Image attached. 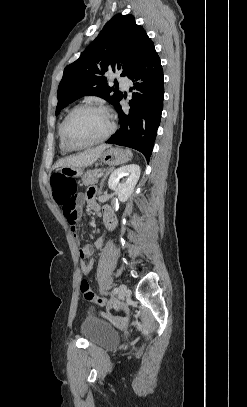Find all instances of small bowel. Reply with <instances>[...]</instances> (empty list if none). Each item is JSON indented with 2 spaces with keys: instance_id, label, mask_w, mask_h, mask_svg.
<instances>
[{
  "instance_id": "obj_1",
  "label": "small bowel",
  "mask_w": 247,
  "mask_h": 407,
  "mask_svg": "<svg viewBox=\"0 0 247 407\" xmlns=\"http://www.w3.org/2000/svg\"><path fill=\"white\" fill-rule=\"evenodd\" d=\"M84 201H88L93 208L96 207L94 189H89L85 194L75 195L66 202L60 203L63 216L65 217L75 238H77V223L82 214V205ZM102 213L106 226L109 228V230H114L117 225V221L112 208L105 206L102 209ZM102 244V238H98L95 242V245L98 248H100ZM92 251V246L89 244H84L79 249L81 270L84 274H88L93 268L94 261L91 259L87 260L91 256Z\"/></svg>"
}]
</instances>
